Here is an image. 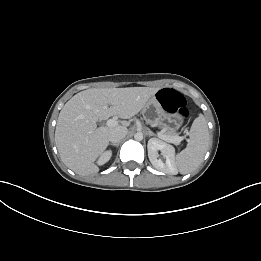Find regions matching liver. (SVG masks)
Returning a JSON list of instances; mask_svg holds the SVG:
<instances>
[{"label": "liver", "instance_id": "1", "mask_svg": "<svg viewBox=\"0 0 261 261\" xmlns=\"http://www.w3.org/2000/svg\"><path fill=\"white\" fill-rule=\"evenodd\" d=\"M159 88L127 87L88 89L74 95L60 111L55 142L62 162L79 175L98 173L94 161L109 144V133L126 127L123 121L114 127H99L96 122L110 116L129 119L138 114Z\"/></svg>", "mask_w": 261, "mask_h": 261}]
</instances>
